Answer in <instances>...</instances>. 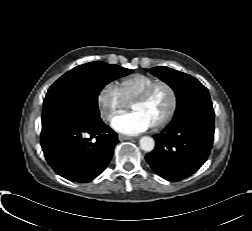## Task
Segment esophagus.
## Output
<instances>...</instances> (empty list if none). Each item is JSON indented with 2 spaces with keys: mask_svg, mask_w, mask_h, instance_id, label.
Here are the masks:
<instances>
[{
  "mask_svg": "<svg viewBox=\"0 0 252 231\" xmlns=\"http://www.w3.org/2000/svg\"><path fill=\"white\" fill-rule=\"evenodd\" d=\"M118 139L120 140V141H124V140H133V139H135L134 137H130V136H125V135H119L118 136Z\"/></svg>",
  "mask_w": 252,
  "mask_h": 231,
  "instance_id": "34e87169",
  "label": "esophagus"
}]
</instances>
